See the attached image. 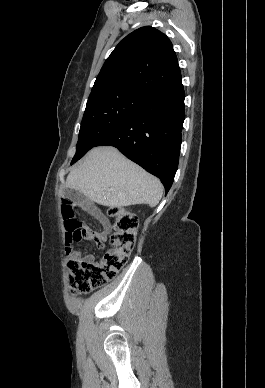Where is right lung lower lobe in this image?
<instances>
[{"label":"right lung lower lobe","mask_w":265,"mask_h":388,"mask_svg":"<svg viewBox=\"0 0 265 388\" xmlns=\"http://www.w3.org/2000/svg\"><path fill=\"white\" fill-rule=\"evenodd\" d=\"M182 81L157 90L95 146L110 145L157 176L167 193L177 171L185 119Z\"/></svg>","instance_id":"98d812e1"}]
</instances>
